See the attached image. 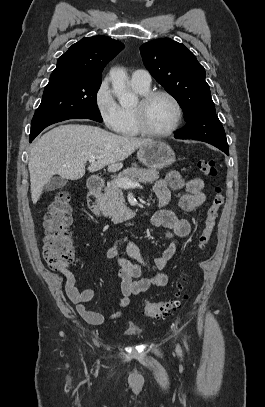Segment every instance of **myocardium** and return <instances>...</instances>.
Here are the masks:
<instances>
[{"label": "myocardium", "instance_id": "myocardium-1", "mask_svg": "<svg viewBox=\"0 0 265 407\" xmlns=\"http://www.w3.org/2000/svg\"><path fill=\"white\" fill-rule=\"evenodd\" d=\"M160 96L168 98L174 104L176 109V119L168 130L163 132H155L147 127L146 109L155 98ZM133 115L135 127L139 134L151 138H166L172 135L179 128L183 119V107L178 98L171 92L166 90H153L142 95L139 103L133 108Z\"/></svg>", "mask_w": 265, "mask_h": 407}]
</instances>
